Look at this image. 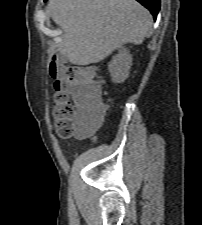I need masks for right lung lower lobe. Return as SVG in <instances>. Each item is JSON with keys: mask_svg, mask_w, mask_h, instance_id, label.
Returning a JSON list of instances; mask_svg holds the SVG:
<instances>
[{"mask_svg": "<svg viewBox=\"0 0 202 225\" xmlns=\"http://www.w3.org/2000/svg\"><path fill=\"white\" fill-rule=\"evenodd\" d=\"M146 7L156 19L157 14L160 10V0H136Z\"/></svg>", "mask_w": 202, "mask_h": 225, "instance_id": "right-lung-lower-lobe-1", "label": "right lung lower lobe"}]
</instances>
